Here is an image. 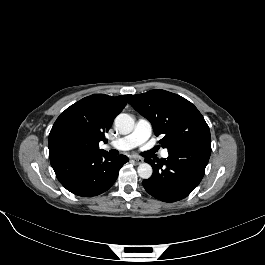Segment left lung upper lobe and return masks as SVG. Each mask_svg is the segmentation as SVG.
Returning <instances> with one entry per match:
<instances>
[{
  "label": "left lung upper lobe",
  "mask_w": 265,
  "mask_h": 265,
  "mask_svg": "<svg viewBox=\"0 0 265 265\" xmlns=\"http://www.w3.org/2000/svg\"><path fill=\"white\" fill-rule=\"evenodd\" d=\"M131 106L147 118L168 152L211 141L210 130L198 109L185 98L165 91L151 90L131 96Z\"/></svg>",
  "instance_id": "5c2ea615"
}]
</instances>
